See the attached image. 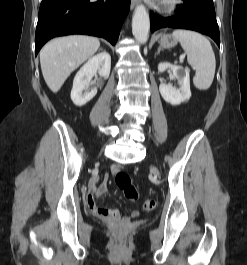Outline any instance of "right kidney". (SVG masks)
Segmentation results:
<instances>
[{"mask_svg": "<svg viewBox=\"0 0 247 265\" xmlns=\"http://www.w3.org/2000/svg\"><path fill=\"white\" fill-rule=\"evenodd\" d=\"M111 69V57L107 52H102L89 59L78 71L71 90V99L76 106H83L96 94L97 88L89 90L91 79L98 74L107 78Z\"/></svg>", "mask_w": 247, "mask_h": 265, "instance_id": "1", "label": "right kidney"}]
</instances>
